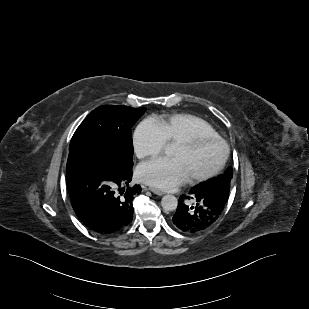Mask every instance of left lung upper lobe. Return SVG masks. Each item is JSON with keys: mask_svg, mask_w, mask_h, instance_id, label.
<instances>
[{"mask_svg": "<svg viewBox=\"0 0 309 309\" xmlns=\"http://www.w3.org/2000/svg\"><path fill=\"white\" fill-rule=\"evenodd\" d=\"M232 177H233V169L232 167H229L224 172V174L219 175L210 180H207L206 182H202L197 186L209 192H216V193H222V194L229 195L230 182H231Z\"/></svg>", "mask_w": 309, "mask_h": 309, "instance_id": "left-lung-upper-lobe-1", "label": "left lung upper lobe"}]
</instances>
